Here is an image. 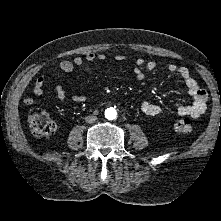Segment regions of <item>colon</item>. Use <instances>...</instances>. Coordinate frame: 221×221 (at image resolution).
<instances>
[{
    "instance_id": "colon-1",
    "label": "colon",
    "mask_w": 221,
    "mask_h": 221,
    "mask_svg": "<svg viewBox=\"0 0 221 221\" xmlns=\"http://www.w3.org/2000/svg\"><path fill=\"white\" fill-rule=\"evenodd\" d=\"M30 130L36 136H48L54 133L56 125L45 111L34 112L28 116ZM174 130L178 133L187 134L191 131L192 125L188 118L175 121Z\"/></svg>"
}]
</instances>
